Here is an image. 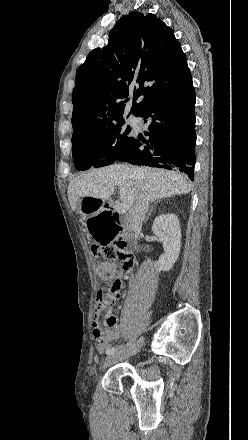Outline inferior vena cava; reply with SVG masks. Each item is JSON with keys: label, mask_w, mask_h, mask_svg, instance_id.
<instances>
[{"label": "inferior vena cava", "mask_w": 248, "mask_h": 440, "mask_svg": "<svg viewBox=\"0 0 248 440\" xmlns=\"http://www.w3.org/2000/svg\"><path fill=\"white\" fill-rule=\"evenodd\" d=\"M133 174H137L136 169H132ZM149 209V199L144 192H140L136 198L135 204L126 215V225L132 230L142 227L146 213Z\"/></svg>", "instance_id": "obj_1"}]
</instances>
